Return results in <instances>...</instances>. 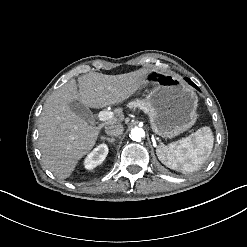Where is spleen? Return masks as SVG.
I'll return each mask as SVG.
<instances>
[{"label": "spleen", "instance_id": "1", "mask_svg": "<svg viewBox=\"0 0 247 247\" xmlns=\"http://www.w3.org/2000/svg\"><path fill=\"white\" fill-rule=\"evenodd\" d=\"M214 134L209 126L200 128L190 137L168 147H157L159 160L171 169L182 174L200 170L208 160L214 145ZM173 150L169 151V148Z\"/></svg>", "mask_w": 247, "mask_h": 247}]
</instances>
